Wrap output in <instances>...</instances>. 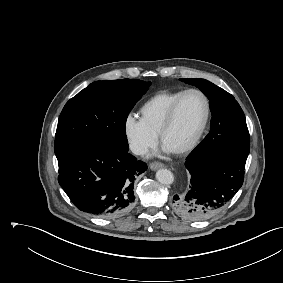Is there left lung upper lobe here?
<instances>
[{
    "label": "left lung upper lobe",
    "instance_id": "left-lung-upper-lobe-1",
    "mask_svg": "<svg viewBox=\"0 0 283 283\" xmlns=\"http://www.w3.org/2000/svg\"><path fill=\"white\" fill-rule=\"evenodd\" d=\"M198 87L209 99L212 112L210 132L189 156L214 151L249 154L250 136L245 115L235 98L205 79H180Z\"/></svg>",
    "mask_w": 283,
    "mask_h": 283
}]
</instances>
